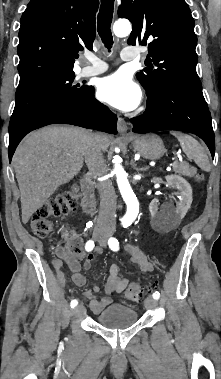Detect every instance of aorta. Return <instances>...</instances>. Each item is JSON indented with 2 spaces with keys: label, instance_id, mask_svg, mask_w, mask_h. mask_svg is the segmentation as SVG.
<instances>
[{
  "label": "aorta",
  "instance_id": "762f6f07",
  "mask_svg": "<svg viewBox=\"0 0 221 379\" xmlns=\"http://www.w3.org/2000/svg\"><path fill=\"white\" fill-rule=\"evenodd\" d=\"M114 34L117 37H125L129 35L132 31V26L128 21H117L113 26ZM114 168L113 173L116 176L118 188L120 190L121 196L127 205V211L122 219V224L124 226L130 225L138 216L139 213V203L136 195L134 194L130 183L127 178V173L121 165L119 157H114L113 160Z\"/></svg>",
  "mask_w": 221,
  "mask_h": 379
}]
</instances>
